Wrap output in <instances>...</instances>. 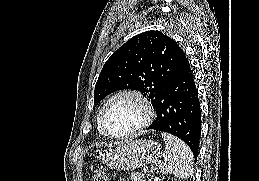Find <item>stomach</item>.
I'll list each match as a JSON object with an SVG mask.
<instances>
[{
  "label": "stomach",
  "mask_w": 259,
  "mask_h": 181,
  "mask_svg": "<svg viewBox=\"0 0 259 181\" xmlns=\"http://www.w3.org/2000/svg\"><path fill=\"white\" fill-rule=\"evenodd\" d=\"M161 156L162 150L157 142L137 139L105 150L101 159L112 169L130 171L156 163Z\"/></svg>",
  "instance_id": "1"
}]
</instances>
